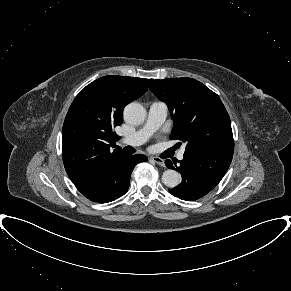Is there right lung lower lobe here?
Returning a JSON list of instances; mask_svg holds the SVG:
<instances>
[{"mask_svg":"<svg viewBox=\"0 0 291 291\" xmlns=\"http://www.w3.org/2000/svg\"><path fill=\"white\" fill-rule=\"evenodd\" d=\"M145 161V155H117L108 160L102 170L80 192L93 202L114 201L128 191L134 166Z\"/></svg>","mask_w":291,"mask_h":291,"instance_id":"right-lung-lower-lobe-1","label":"right lung lower lobe"}]
</instances>
